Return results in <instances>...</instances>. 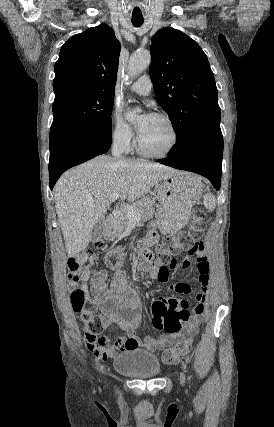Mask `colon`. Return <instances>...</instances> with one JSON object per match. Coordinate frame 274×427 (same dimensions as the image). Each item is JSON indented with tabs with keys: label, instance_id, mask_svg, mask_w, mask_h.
<instances>
[{
	"label": "colon",
	"instance_id": "colon-1",
	"mask_svg": "<svg viewBox=\"0 0 274 427\" xmlns=\"http://www.w3.org/2000/svg\"><path fill=\"white\" fill-rule=\"evenodd\" d=\"M205 213L203 210L196 208L192 212L191 220L187 228L177 233L176 235L167 236L156 248V259L160 264L165 260H173L174 256L179 255L182 251L192 248L196 243L197 236H204ZM68 282L71 288V304L75 313L82 314L84 323L85 336L92 338L104 339L102 330L104 322L101 316L94 313V306L91 302L84 300V294L81 289L75 288L79 284V276L81 278H90L92 273L99 270V263L92 260H84L83 256H73L68 259ZM201 312V311H196ZM191 338L183 337L174 348H161V361L163 364H180L188 363L187 350L191 349Z\"/></svg>",
	"mask_w": 274,
	"mask_h": 427
}]
</instances>
